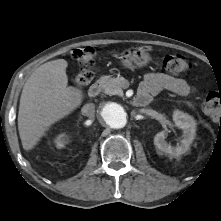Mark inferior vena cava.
Returning <instances> with one entry per match:
<instances>
[{
	"label": "inferior vena cava",
	"mask_w": 221,
	"mask_h": 221,
	"mask_svg": "<svg viewBox=\"0 0 221 221\" xmlns=\"http://www.w3.org/2000/svg\"><path fill=\"white\" fill-rule=\"evenodd\" d=\"M82 113L89 118H93L95 116V105L93 103L84 105L82 108Z\"/></svg>",
	"instance_id": "1"
}]
</instances>
